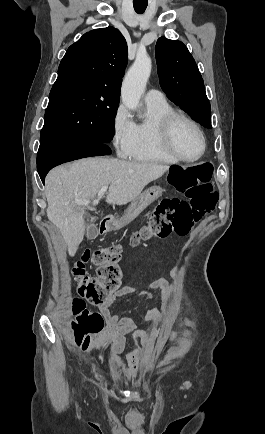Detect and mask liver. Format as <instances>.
<instances>
[{
    "instance_id": "1",
    "label": "liver",
    "mask_w": 265,
    "mask_h": 434,
    "mask_svg": "<svg viewBox=\"0 0 265 434\" xmlns=\"http://www.w3.org/2000/svg\"><path fill=\"white\" fill-rule=\"evenodd\" d=\"M169 168L117 158H84L51 170L46 178V214L59 228L69 256H75L85 234V208L74 204L75 200H94L103 186H109L106 202L123 206L133 202L147 184L161 178Z\"/></svg>"
}]
</instances>
